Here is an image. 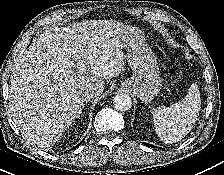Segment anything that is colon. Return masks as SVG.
Instances as JSON below:
<instances>
[{"label": "colon", "instance_id": "colon-1", "mask_svg": "<svg viewBox=\"0 0 224 175\" xmlns=\"http://www.w3.org/2000/svg\"><path fill=\"white\" fill-rule=\"evenodd\" d=\"M169 73L172 75V76H176L177 75V72L175 69H170Z\"/></svg>", "mask_w": 224, "mask_h": 175}]
</instances>
